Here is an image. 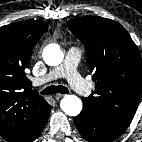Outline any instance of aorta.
<instances>
[{
  "label": "aorta",
  "instance_id": "1",
  "mask_svg": "<svg viewBox=\"0 0 142 142\" xmlns=\"http://www.w3.org/2000/svg\"><path fill=\"white\" fill-rule=\"evenodd\" d=\"M64 54L57 44H49L43 50V60L47 65L57 66L63 61ZM63 112L69 116H77L82 111V101L75 95H66L60 102Z\"/></svg>",
  "mask_w": 142,
  "mask_h": 142
}]
</instances>
